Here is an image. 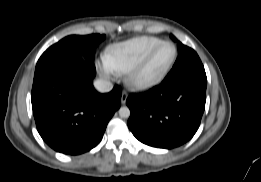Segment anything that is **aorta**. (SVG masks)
Wrapping results in <instances>:
<instances>
[{
  "label": "aorta",
  "instance_id": "762f6f07",
  "mask_svg": "<svg viewBox=\"0 0 261 182\" xmlns=\"http://www.w3.org/2000/svg\"><path fill=\"white\" fill-rule=\"evenodd\" d=\"M119 116L121 118H129V116H130V109L128 107H121L119 109Z\"/></svg>",
  "mask_w": 261,
  "mask_h": 182
}]
</instances>
